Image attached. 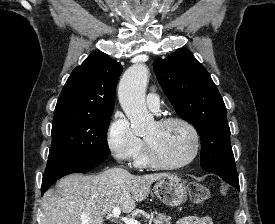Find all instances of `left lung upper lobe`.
Masks as SVG:
<instances>
[{
  "label": "left lung upper lobe",
  "instance_id": "1",
  "mask_svg": "<svg viewBox=\"0 0 275 224\" xmlns=\"http://www.w3.org/2000/svg\"><path fill=\"white\" fill-rule=\"evenodd\" d=\"M156 77L176 113L201 137V167L223 180H238L226 107L209 73L187 49L155 60Z\"/></svg>",
  "mask_w": 275,
  "mask_h": 224
}]
</instances>
